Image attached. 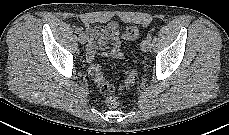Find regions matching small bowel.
I'll return each mask as SVG.
<instances>
[{"mask_svg": "<svg viewBox=\"0 0 229 135\" xmlns=\"http://www.w3.org/2000/svg\"><path fill=\"white\" fill-rule=\"evenodd\" d=\"M103 31L109 36L111 41V48L108 50L107 54L110 56H116L120 50V43L117 40L118 31L115 25L107 24Z\"/></svg>", "mask_w": 229, "mask_h": 135, "instance_id": "1", "label": "small bowel"}]
</instances>
